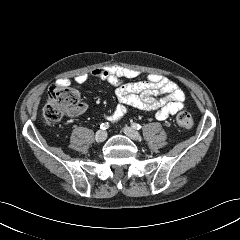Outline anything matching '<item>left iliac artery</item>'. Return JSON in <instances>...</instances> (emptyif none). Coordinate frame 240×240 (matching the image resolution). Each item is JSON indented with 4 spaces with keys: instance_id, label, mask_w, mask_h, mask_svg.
<instances>
[{
    "instance_id": "obj_1",
    "label": "left iliac artery",
    "mask_w": 240,
    "mask_h": 240,
    "mask_svg": "<svg viewBox=\"0 0 240 240\" xmlns=\"http://www.w3.org/2000/svg\"><path fill=\"white\" fill-rule=\"evenodd\" d=\"M132 127L136 130H140L141 129V126L137 123H132Z\"/></svg>"
}]
</instances>
